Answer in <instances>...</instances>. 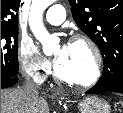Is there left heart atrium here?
I'll list each match as a JSON object with an SVG mask.
<instances>
[{
	"instance_id": "obj_1",
	"label": "left heart atrium",
	"mask_w": 123,
	"mask_h": 113,
	"mask_svg": "<svg viewBox=\"0 0 123 113\" xmlns=\"http://www.w3.org/2000/svg\"><path fill=\"white\" fill-rule=\"evenodd\" d=\"M66 50H67V45H62L60 47L58 53L55 56V62L56 63H59L63 59V57H64V55L66 53Z\"/></svg>"
}]
</instances>
